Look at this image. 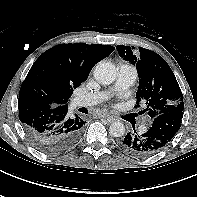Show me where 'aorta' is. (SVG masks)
I'll return each instance as SVG.
<instances>
[{
    "instance_id": "1",
    "label": "aorta",
    "mask_w": 197,
    "mask_h": 197,
    "mask_svg": "<svg viewBox=\"0 0 197 197\" xmlns=\"http://www.w3.org/2000/svg\"><path fill=\"white\" fill-rule=\"evenodd\" d=\"M116 66L109 61L99 62L93 71L97 82L103 85H110L116 78ZM125 133V126L122 122H113L109 128V134L114 137H122Z\"/></svg>"
}]
</instances>
